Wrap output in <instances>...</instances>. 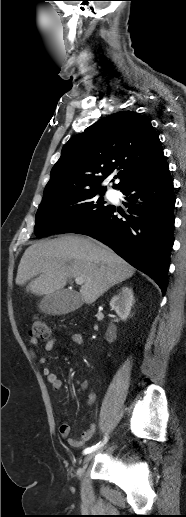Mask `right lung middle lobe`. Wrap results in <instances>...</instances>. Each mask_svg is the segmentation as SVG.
Listing matches in <instances>:
<instances>
[{
	"label": "right lung middle lobe",
	"instance_id": "right-lung-middle-lobe-1",
	"mask_svg": "<svg viewBox=\"0 0 186 517\" xmlns=\"http://www.w3.org/2000/svg\"><path fill=\"white\" fill-rule=\"evenodd\" d=\"M104 192L81 191L41 202L36 213L35 235L41 238L52 233H72L89 224L112 207L105 205Z\"/></svg>",
	"mask_w": 186,
	"mask_h": 517
}]
</instances>
